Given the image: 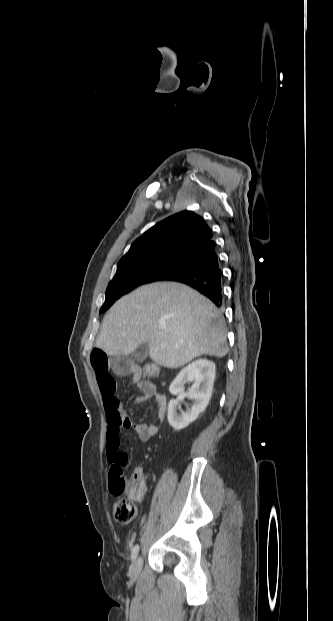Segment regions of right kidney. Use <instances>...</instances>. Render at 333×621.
Listing matches in <instances>:
<instances>
[{
	"mask_svg": "<svg viewBox=\"0 0 333 621\" xmlns=\"http://www.w3.org/2000/svg\"><path fill=\"white\" fill-rule=\"evenodd\" d=\"M215 379V364L207 359H198L183 368L170 385L172 395L184 392V384L193 382L188 396L193 400V405L182 414L177 413L178 400H171L168 405L167 419L169 424L176 430H182L197 419L203 412L211 398Z\"/></svg>",
	"mask_w": 333,
	"mask_h": 621,
	"instance_id": "1",
	"label": "right kidney"
}]
</instances>
